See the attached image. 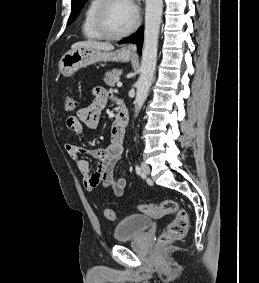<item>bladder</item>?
Listing matches in <instances>:
<instances>
[{
	"label": "bladder",
	"instance_id": "1",
	"mask_svg": "<svg viewBox=\"0 0 259 283\" xmlns=\"http://www.w3.org/2000/svg\"><path fill=\"white\" fill-rule=\"evenodd\" d=\"M152 223V219L146 215H129L115 226L113 238L117 242L135 238L148 230Z\"/></svg>",
	"mask_w": 259,
	"mask_h": 283
}]
</instances>
